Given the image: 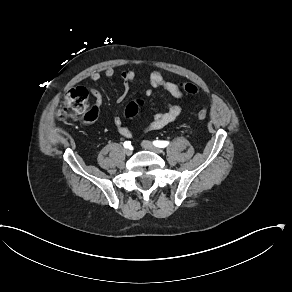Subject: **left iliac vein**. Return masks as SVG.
<instances>
[{
  "instance_id": "1",
  "label": "left iliac vein",
  "mask_w": 292,
  "mask_h": 292,
  "mask_svg": "<svg viewBox=\"0 0 292 292\" xmlns=\"http://www.w3.org/2000/svg\"><path fill=\"white\" fill-rule=\"evenodd\" d=\"M141 145L146 150L155 152L157 154H161L162 153V150L160 148L156 147L153 143H151L149 141L144 140V141H142Z\"/></svg>"
}]
</instances>
